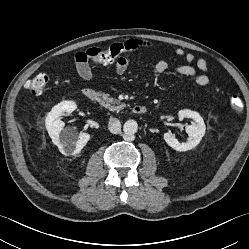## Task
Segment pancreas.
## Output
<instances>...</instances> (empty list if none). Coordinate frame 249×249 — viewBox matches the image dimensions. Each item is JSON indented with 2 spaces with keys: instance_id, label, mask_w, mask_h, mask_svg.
Here are the masks:
<instances>
[{
  "instance_id": "obj_1",
  "label": "pancreas",
  "mask_w": 249,
  "mask_h": 249,
  "mask_svg": "<svg viewBox=\"0 0 249 249\" xmlns=\"http://www.w3.org/2000/svg\"><path fill=\"white\" fill-rule=\"evenodd\" d=\"M101 96V105L111 111H120L126 106L125 104H122L118 99L109 97V94L102 93Z\"/></svg>"
}]
</instances>
